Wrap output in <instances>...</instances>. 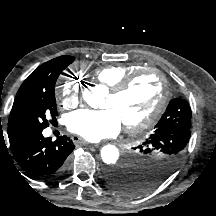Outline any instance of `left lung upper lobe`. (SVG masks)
I'll use <instances>...</instances> for the list:
<instances>
[{"label": "left lung upper lobe", "instance_id": "obj_1", "mask_svg": "<svg viewBox=\"0 0 216 216\" xmlns=\"http://www.w3.org/2000/svg\"><path fill=\"white\" fill-rule=\"evenodd\" d=\"M191 115L186 100H171L153 134L138 146L146 160L143 167H132L135 196L152 189L176 166L191 137Z\"/></svg>", "mask_w": 216, "mask_h": 216}]
</instances>
